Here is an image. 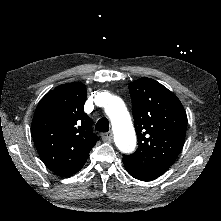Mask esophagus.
Here are the masks:
<instances>
[{"label": "esophagus", "instance_id": "obj_1", "mask_svg": "<svg viewBox=\"0 0 221 221\" xmlns=\"http://www.w3.org/2000/svg\"><path fill=\"white\" fill-rule=\"evenodd\" d=\"M101 138L105 143H110L112 140V134L111 132L102 133Z\"/></svg>", "mask_w": 221, "mask_h": 221}]
</instances>
